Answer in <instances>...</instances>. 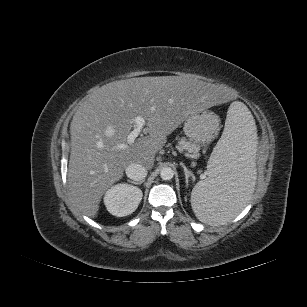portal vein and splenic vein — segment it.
Returning <instances> with one entry per match:
<instances>
[{
	"mask_svg": "<svg viewBox=\"0 0 307 307\" xmlns=\"http://www.w3.org/2000/svg\"><path fill=\"white\" fill-rule=\"evenodd\" d=\"M135 122V126L134 129L129 133V135L127 136V144H133L135 139L139 136V134L141 133L142 129L144 128L146 122L145 119L142 116H137L134 120ZM127 144H121L118 145V148L122 149V148H126Z\"/></svg>",
	"mask_w": 307,
	"mask_h": 307,
	"instance_id": "1",
	"label": "portal vein and splenic vein"
}]
</instances>
